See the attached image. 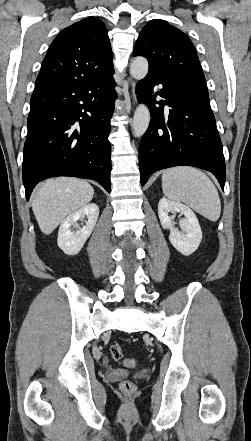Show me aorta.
I'll list each match as a JSON object with an SVG mask.
<instances>
[{
  "label": "aorta",
  "mask_w": 251,
  "mask_h": 441,
  "mask_svg": "<svg viewBox=\"0 0 251 441\" xmlns=\"http://www.w3.org/2000/svg\"><path fill=\"white\" fill-rule=\"evenodd\" d=\"M148 73V61L144 57H136L130 65V74L136 80H141ZM150 123V112L146 105L140 104L134 113L132 130L135 137H141Z\"/></svg>",
  "instance_id": "762f6f07"
}]
</instances>
